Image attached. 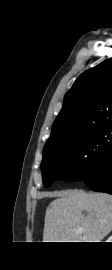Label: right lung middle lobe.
Masks as SVG:
<instances>
[{
    "label": "right lung middle lobe",
    "instance_id": "obj_1",
    "mask_svg": "<svg viewBox=\"0 0 112 270\" xmlns=\"http://www.w3.org/2000/svg\"><path fill=\"white\" fill-rule=\"evenodd\" d=\"M112 146V124L101 126L65 143L43 150L41 162L45 187L55 180L79 181L94 171Z\"/></svg>",
    "mask_w": 112,
    "mask_h": 270
}]
</instances>
